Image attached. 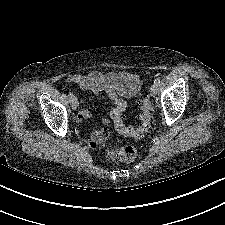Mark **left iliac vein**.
I'll use <instances>...</instances> for the list:
<instances>
[{
	"instance_id": "1",
	"label": "left iliac vein",
	"mask_w": 225,
	"mask_h": 225,
	"mask_svg": "<svg viewBox=\"0 0 225 225\" xmlns=\"http://www.w3.org/2000/svg\"><path fill=\"white\" fill-rule=\"evenodd\" d=\"M156 93H157V87L155 85H151V87H150L151 96H155Z\"/></svg>"
}]
</instances>
